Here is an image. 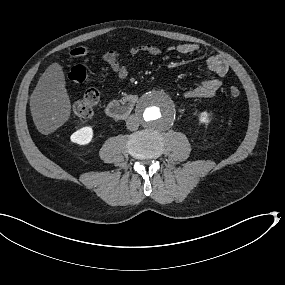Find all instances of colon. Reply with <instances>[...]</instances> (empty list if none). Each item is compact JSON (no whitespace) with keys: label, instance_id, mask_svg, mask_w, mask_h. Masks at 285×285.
<instances>
[{"label":"colon","instance_id":"5ec220e1","mask_svg":"<svg viewBox=\"0 0 285 285\" xmlns=\"http://www.w3.org/2000/svg\"><path fill=\"white\" fill-rule=\"evenodd\" d=\"M89 49L86 46H78L70 51V56L73 59L81 58L88 53ZM70 79L78 84L88 85L90 82L86 68L77 64L72 67L69 73ZM229 93L232 97H238L240 95V89L236 86H232L229 89ZM99 92L93 88L88 87L82 97L78 99L73 105V113L80 119H89L99 103Z\"/></svg>","mask_w":285,"mask_h":285}]
</instances>
